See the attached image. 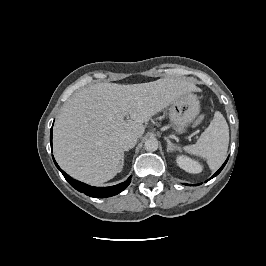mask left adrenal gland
<instances>
[{
    "label": "left adrenal gland",
    "instance_id": "obj_1",
    "mask_svg": "<svg viewBox=\"0 0 266 266\" xmlns=\"http://www.w3.org/2000/svg\"><path fill=\"white\" fill-rule=\"evenodd\" d=\"M164 139L166 140L167 142V152L170 153V152H173L176 150L177 146L175 144H173L168 137H164Z\"/></svg>",
    "mask_w": 266,
    "mask_h": 266
}]
</instances>
